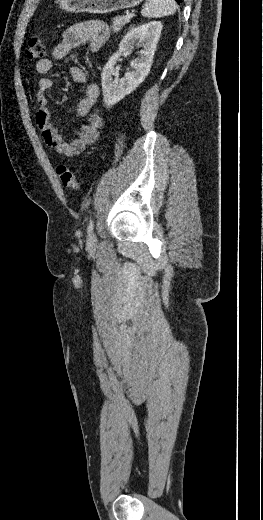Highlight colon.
Listing matches in <instances>:
<instances>
[{"mask_svg":"<svg viewBox=\"0 0 263 520\" xmlns=\"http://www.w3.org/2000/svg\"><path fill=\"white\" fill-rule=\"evenodd\" d=\"M45 54V46L41 37L34 36L29 40L27 57L29 59H39ZM57 175L62 184L69 189L76 190L79 187L78 180L74 173L65 165H59L56 169Z\"/></svg>","mask_w":263,"mask_h":520,"instance_id":"colon-1","label":"colon"}]
</instances>
